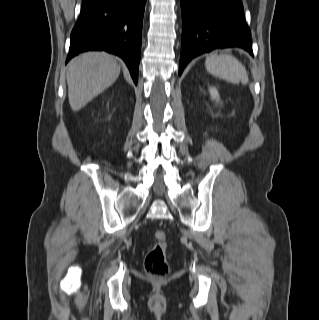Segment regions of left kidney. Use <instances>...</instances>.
I'll use <instances>...</instances> for the list:
<instances>
[{"label": "left kidney", "instance_id": "left-kidney-1", "mask_svg": "<svg viewBox=\"0 0 319 320\" xmlns=\"http://www.w3.org/2000/svg\"><path fill=\"white\" fill-rule=\"evenodd\" d=\"M209 93H210L212 99L217 100V101L220 100L218 90L215 87H210Z\"/></svg>", "mask_w": 319, "mask_h": 320}]
</instances>
